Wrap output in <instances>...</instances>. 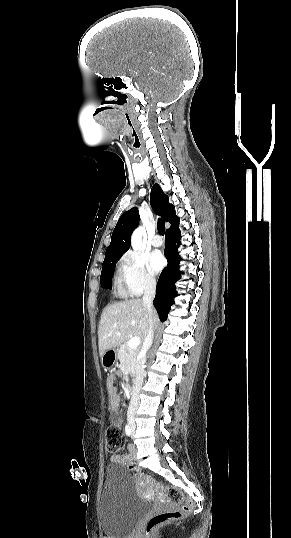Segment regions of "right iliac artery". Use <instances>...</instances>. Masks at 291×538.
I'll use <instances>...</instances> for the list:
<instances>
[{
    "instance_id": "82829eb1",
    "label": "right iliac artery",
    "mask_w": 291,
    "mask_h": 538,
    "mask_svg": "<svg viewBox=\"0 0 291 538\" xmlns=\"http://www.w3.org/2000/svg\"><path fill=\"white\" fill-rule=\"evenodd\" d=\"M125 433H126L127 436H130V434H131V428H130L129 425H126V426H125Z\"/></svg>"
}]
</instances>
